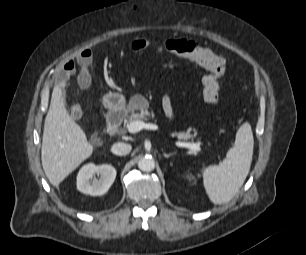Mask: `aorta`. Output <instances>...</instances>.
<instances>
[{
	"label": "aorta",
	"instance_id": "762f6f07",
	"mask_svg": "<svg viewBox=\"0 0 306 255\" xmlns=\"http://www.w3.org/2000/svg\"><path fill=\"white\" fill-rule=\"evenodd\" d=\"M141 171L150 172L155 168V161L152 157H143L138 162Z\"/></svg>",
	"mask_w": 306,
	"mask_h": 255
}]
</instances>
